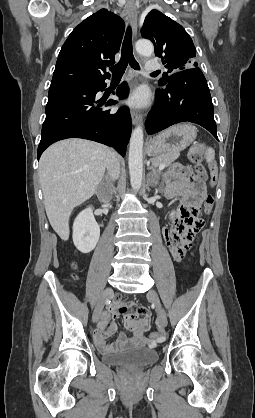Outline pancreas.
Segmentation results:
<instances>
[{
  "label": "pancreas",
  "mask_w": 255,
  "mask_h": 418,
  "mask_svg": "<svg viewBox=\"0 0 255 418\" xmlns=\"http://www.w3.org/2000/svg\"><path fill=\"white\" fill-rule=\"evenodd\" d=\"M179 155H180L179 153L160 155L158 157L151 159V162L154 167L160 166L161 164H165V166H169L171 165L172 162H174L179 157Z\"/></svg>",
  "instance_id": "cf45deb5"
}]
</instances>
